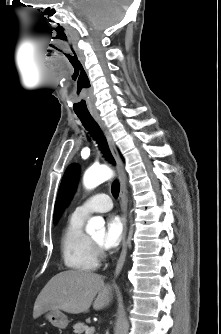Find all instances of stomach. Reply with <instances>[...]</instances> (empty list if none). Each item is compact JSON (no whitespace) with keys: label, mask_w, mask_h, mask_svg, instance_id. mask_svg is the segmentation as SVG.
I'll use <instances>...</instances> for the list:
<instances>
[{"label":"stomach","mask_w":221,"mask_h":334,"mask_svg":"<svg viewBox=\"0 0 221 334\" xmlns=\"http://www.w3.org/2000/svg\"><path fill=\"white\" fill-rule=\"evenodd\" d=\"M46 319L59 329H65L68 326L67 316L60 310H49L45 313Z\"/></svg>","instance_id":"stomach-1"}]
</instances>
